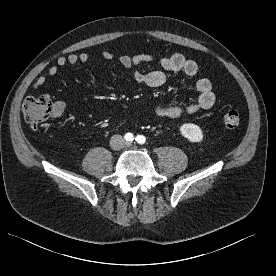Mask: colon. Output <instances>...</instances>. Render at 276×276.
<instances>
[{"instance_id": "obj_1", "label": "colon", "mask_w": 276, "mask_h": 276, "mask_svg": "<svg viewBox=\"0 0 276 276\" xmlns=\"http://www.w3.org/2000/svg\"><path fill=\"white\" fill-rule=\"evenodd\" d=\"M55 111L52 100L45 95L27 97L22 104V114L25 121L38 128L50 119ZM241 117L238 111L228 109L223 115V123L227 128L234 129L240 125Z\"/></svg>"}]
</instances>
